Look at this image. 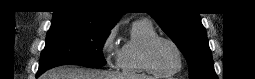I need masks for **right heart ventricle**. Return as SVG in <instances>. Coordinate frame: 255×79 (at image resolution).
Wrapping results in <instances>:
<instances>
[{
  "mask_svg": "<svg viewBox=\"0 0 255 79\" xmlns=\"http://www.w3.org/2000/svg\"><path fill=\"white\" fill-rule=\"evenodd\" d=\"M156 36V30L150 23L136 21L131 25L129 40L120 50L119 67L123 73L148 75L142 60V53L148 40Z\"/></svg>",
  "mask_w": 255,
  "mask_h": 79,
  "instance_id": "right-heart-ventricle-1",
  "label": "right heart ventricle"
}]
</instances>
